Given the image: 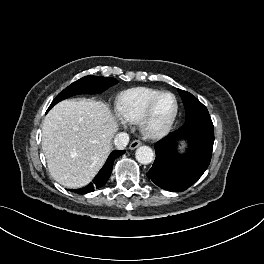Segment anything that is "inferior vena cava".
<instances>
[{"mask_svg":"<svg viewBox=\"0 0 264 264\" xmlns=\"http://www.w3.org/2000/svg\"><path fill=\"white\" fill-rule=\"evenodd\" d=\"M129 142V135L127 133L121 132L116 134L114 138V145L118 150H123Z\"/></svg>","mask_w":264,"mask_h":264,"instance_id":"602c4592","label":"inferior vena cava"}]
</instances>
